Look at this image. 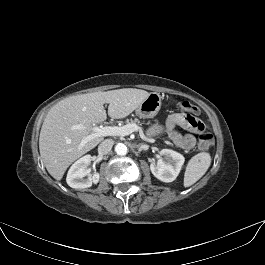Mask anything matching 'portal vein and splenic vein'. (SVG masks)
I'll list each match as a JSON object with an SVG mask.
<instances>
[{
  "label": "portal vein and splenic vein",
  "mask_w": 265,
  "mask_h": 265,
  "mask_svg": "<svg viewBox=\"0 0 265 265\" xmlns=\"http://www.w3.org/2000/svg\"><path fill=\"white\" fill-rule=\"evenodd\" d=\"M73 129H86L84 125L76 124L73 126ZM90 130L92 134L87 136L84 140H82L81 145H84L86 142L94 139L95 137H104V136H127L132 132L141 130L136 124H126L124 126H105L99 127L94 126L91 127Z\"/></svg>",
  "instance_id": "18ae733b"
}]
</instances>
